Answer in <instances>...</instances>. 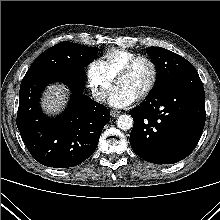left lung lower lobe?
<instances>
[{
	"label": "left lung lower lobe",
	"instance_id": "0a47b994",
	"mask_svg": "<svg viewBox=\"0 0 220 220\" xmlns=\"http://www.w3.org/2000/svg\"><path fill=\"white\" fill-rule=\"evenodd\" d=\"M130 113V144L139 157L155 164L186 158L205 125V93L197 71L177 75Z\"/></svg>",
	"mask_w": 220,
	"mask_h": 220
}]
</instances>
